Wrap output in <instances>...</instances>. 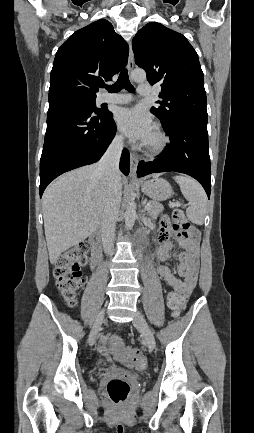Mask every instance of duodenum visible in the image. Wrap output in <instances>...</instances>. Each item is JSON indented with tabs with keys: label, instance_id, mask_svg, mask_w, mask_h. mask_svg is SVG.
Returning <instances> with one entry per match:
<instances>
[{
	"label": "duodenum",
	"instance_id": "410a0bca",
	"mask_svg": "<svg viewBox=\"0 0 254 433\" xmlns=\"http://www.w3.org/2000/svg\"><path fill=\"white\" fill-rule=\"evenodd\" d=\"M89 243L92 249L93 266L96 267L101 257V240L100 233L98 231L91 234L89 237Z\"/></svg>",
	"mask_w": 254,
	"mask_h": 433
}]
</instances>
